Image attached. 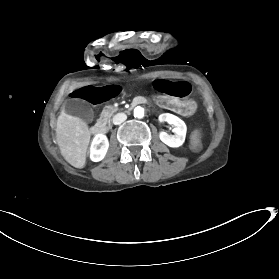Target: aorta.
<instances>
[{
	"label": "aorta",
	"instance_id": "1",
	"mask_svg": "<svg viewBox=\"0 0 279 279\" xmlns=\"http://www.w3.org/2000/svg\"><path fill=\"white\" fill-rule=\"evenodd\" d=\"M134 116L137 118H142L144 116V108L137 106L134 109Z\"/></svg>",
	"mask_w": 279,
	"mask_h": 279
}]
</instances>
